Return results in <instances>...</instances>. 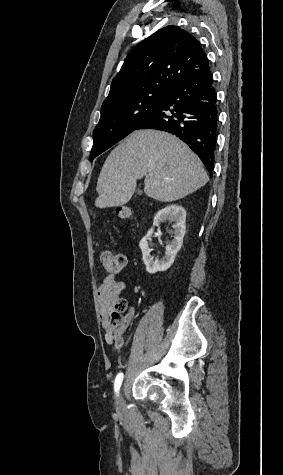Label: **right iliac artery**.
<instances>
[{
	"label": "right iliac artery",
	"instance_id": "1",
	"mask_svg": "<svg viewBox=\"0 0 283 475\" xmlns=\"http://www.w3.org/2000/svg\"><path fill=\"white\" fill-rule=\"evenodd\" d=\"M122 381H123V373H119L116 376L115 383H114V389L116 393H118L120 386L122 384Z\"/></svg>",
	"mask_w": 283,
	"mask_h": 475
}]
</instances>
